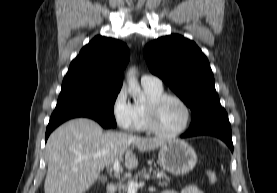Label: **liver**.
Segmentation results:
<instances>
[{
    "mask_svg": "<svg viewBox=\"0 0 277 193\" xmlns=\"http://www.w3.org/2000/svg\"><path fill=\"white\" fill-rule=\"evenodd\" d=\"M166 139L142 138L127 133L103 132L96 122L79 118L58 127L46 144L45 193H85L99 178L100 171L116 160L129 170L138 166L133 153L162 146Z\"/></svg>",
    "mask_w": 277,
    "mask_h": 193,
    "instance_id": "6515ba94",
    "label": "liver"
}]
</instances>
